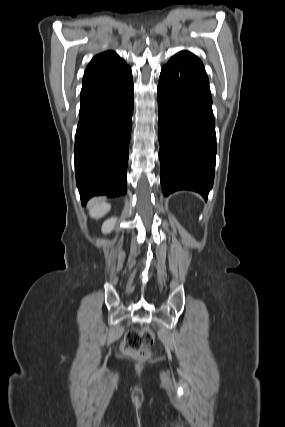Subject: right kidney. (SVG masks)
I'll list each match as a JSON object with an SVG mask.
<instances>
[{
  "label": "right kidney",
  "instance_id": "1",
  "mask_svg": "<svg viewBox=\"0 0 285 427\" xmlns=\"http://www.w3.org/2000/svg\"><path fill=\"white\" fill-rule=\"evenodd\" d=\"M116 224V218H110L106 220L102 225V232L103 233H109L112 231Z\"/></svg>",
  "mask_w": 285,
  "mask_h": 427
}]
</instances>
